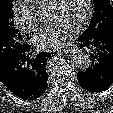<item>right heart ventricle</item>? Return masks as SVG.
<instances>
[{
	"mask_svg": "<svg viewBox=\"0 0 113 113\" xmlns=\"http://www.w3.org/2000/svg\"><path fill=\"white\" fill-rule=\"evenodd\" d=\"M52 0H30L32 5L36 6L37 9L43 8L45 6H48Z\"/></svg>",
	"mask_w": 113,
	"mask_h": 113,
	"instance_id": "obj_1",
	"label": "right heart ventricle"
}]
</instances>
